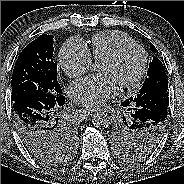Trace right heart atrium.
<instances>
[{"instance_id": "d8ad5b80", "label": "right heart atrium", "mask_w": 184, "mask_h": 184, "mask_svg": "<svg viewBox=\"0 0 184 184\" xmlns=\"http://www.w3.org/2000/svg\"><path fill=\"white\" fill-rule=\"evenodd\" d=\"M92 60L88 46L79 38L68 39L60 48L58 65L70 78L86 73Z\"/></svg>"}]
</instances>
